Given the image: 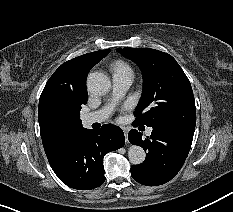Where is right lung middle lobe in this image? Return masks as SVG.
Segmentation results:
<instances>
[{
	"instance_id": "1",
	"label": "right lung middle lobe",
	"mask_w": 233,
	"mask_h": 212,
	"mask_svg": "<svg viewBox=\"0 0 233 212\" xmlns=\"http://www.w3.org/2000/svg\"><path fill=\"white\" fill-rule=\"evenodd\" d=\"M86 102L87 99L78 100L66 108L58 109L56 115L63 122L80 126L82 124L79 116L80 110L81 106L86 104Z\"/></svg>"
}]
</instances>
